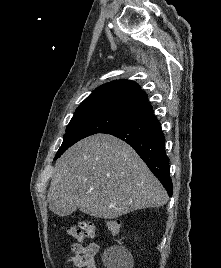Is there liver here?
Returning a JSON list of instances; mask_svg holds the SVG:
<instances>
[{"mask_svg":"<svg viewBox=\"0 0 221 268\" xmlns=\"http://www.w3.org/2000/svg\"><path fill=\"white\" fill-rule=\"evenodd\" d=\"M47 201L59 216L79 209L94 217L114 219L163 206L168 195L128 144L96 134L70 147L57 161Z\"/></svg>","mask_w":221,"mask_h":268,"instance_id":"obj_1","label":"liver"}]
</instances>
